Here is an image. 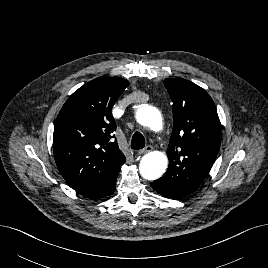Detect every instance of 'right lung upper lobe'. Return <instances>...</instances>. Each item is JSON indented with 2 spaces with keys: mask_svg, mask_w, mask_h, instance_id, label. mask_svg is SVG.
Masks as SVG:
<instances>
[{
  "mask_svg": "<svg viewBox=\"0 0 268 268\" xmlns=\"http://www.w3.org/2000/svg\"><path fill=\"white\" fill-rule=\"evenodd\" d=\"M129 82L96 78L76 90L63 105L54 127L53 151L65 181L92 199L112 194L126 158L113 139L111 109Z\"/></svg>",
  "mask_w": 268,
  "mask_h": 268,
  "instance_id": "obj_1",
  "label": "right lung upper lobe"
}]
</instances>
